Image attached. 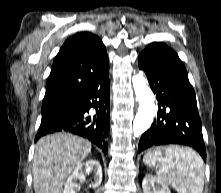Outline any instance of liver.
I'll use <instances>...</instances> for the list:
<instances>
[{
	"label": "liver",
	"instance_id": "liver-1",
	"mask_svg": "<svg viewBox=\"0 0 221 193\" xmlns=\"http://www.w3.org/2000/svg\"><path fill=\"white\" fill-rule=\"evenodd\" d=\"M91 143L69 133L38 140L33 158L35 193H62L65 179L91 152Z\"/></svg>",
	"mask_w": 221,
	"mask_h": 193
}]
</instances>
